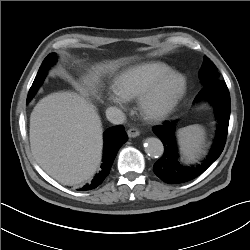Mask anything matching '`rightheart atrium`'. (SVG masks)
<instances>
[{"label": "right heart atrium", "mask_w": 250, "mask_h": 250, "mask_svg": "<svg viewBox=\"0 0 250 250\" xmlns=\"http://www.w3.org/2000/svg\"><path fill=\"white\" fill-rule=\"evenodd\" d=\"M106 99L110 104L117 105L120 108H125L128 103V99L114 89L106 92Z\"/></svg>", "instance_id": "d8ad5b80"}]
</instances>
